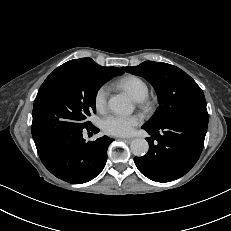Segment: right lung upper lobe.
<instances>
[{
    "label": "right lung upper lobe",
    "instance_id": "obj_1",
    "mask_svg": "<svg viewBox=\"0 0 231 231\" xmlns=\"http://www.w3.org/2000/svg\"><path fill=\"white\" fill-rule=\"evenodd\" d=\"M74 67H103V66L98 65L91 58H81V59L70 60L64 63L63 65L59 66L58 68H74ZM104 68L123 72L121 69L117 67H104Z\"/></svg>",
    "mask_w": 231,
    "mask_h": 231
}]
</instances>
